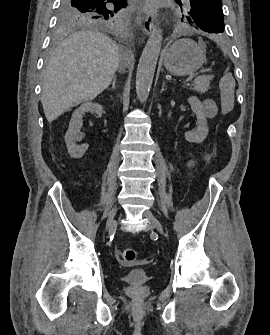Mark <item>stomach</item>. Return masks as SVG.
Wrapping results in <instances>:
<instances>
[{
    "label": "stomach",
    "instance_id": "0dacf381",
    "mask_svg": "<svg viewBox=\"0 0 270 335\" xmlns=\"http://www.w3.org/2000/svg\"><path fill=\"white\" fill-rule=\"evenodd\" d=\"M205 48L202 40L199 44L190 38L176 40L170 48L163 52L164 66L172 76L194 74L206 62Z\"/></svg>",
    "mask_w": 270,
    "mask_h": 335
}]
</instances>
